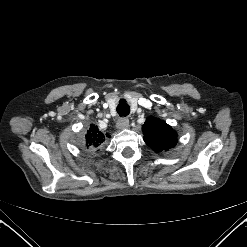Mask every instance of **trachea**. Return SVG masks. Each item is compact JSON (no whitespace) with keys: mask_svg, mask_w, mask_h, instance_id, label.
<instances>
[{"mask_svg":"<svg viewBox=\"0 0 247 247\" xmlns=\"http://www.w3.org/2000/svg\"><path fill=\"white\" fill-rule=\"evenodd\" d=\"M130 112V107L125 100H121L117 106V113L120 117H126Z\"/></svg>","mask_w":247,"mask_h":247,"instance_id":"trachea-1","label":"trachea"}]
</instances>
